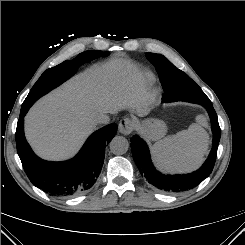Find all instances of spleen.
I'll return each instance as SVG.
<instances>
[{
	"label": "spleen",
	"instance_id": "obj_1",
	"mask_svg": "<svg viewBox=\"0 0 245 245\" xmlns=\"http://www.w3.org/2000/svg\"><path fill=\"white\" fill-rule=\"evenodd\" d=\"M196 119L198 123L191 124L187 130L168 136L153 145L154 159L161 170L187 172L202 162L208 146V135L202 127L206 124V119L203 116Z\"/></svg>",
	"mask_w": 245,
	"mask_h": 245
}]
</instances>
